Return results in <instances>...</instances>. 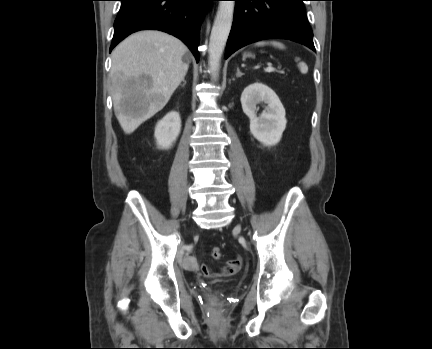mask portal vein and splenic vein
I'll list each match as a JSON object with an SVG mask.
<instances>
[{
  "instance_id": "1",
  "label": "portal vein and splenic vein",
  "mask_w": 432,
  "mask_h": 349,
  "mask_svg": "<svg viewBox=\"0 0 432 349\" xmlns=\"http://www.w3.org/2000/svg\"><path fill=\"white\" fill-rule=\"evenodd\" d=\"M265 71H266V72H274V71H275V68L272 67L271 65H269V66L265 69Z\"/></svg>"
}]
</instances>
